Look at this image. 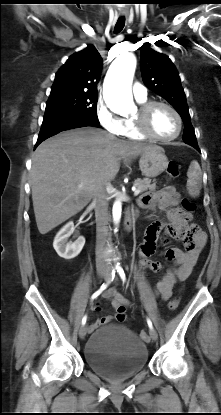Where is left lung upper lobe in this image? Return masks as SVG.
Returning a JSON list of instances; mask_svg holds the SVG:
<instances>
[{"label":"left lung upper lobe","mask_w":221,"mask_h":415,"mask_svg":"<svg viewBox=\"0 0 221 415\" xmlns=\"http://www.w3.org/2000/svg\"><path fill=\"white\" fill-rule=\"evenodd\" d=\"M141 73L147 88L167 100L180 114L184 122L183 140H196L191 124L186 96L176 67L164 54L143 44L140 55Z\"/></svg>","instance_id":"5c2ea615"}]
</instances>
